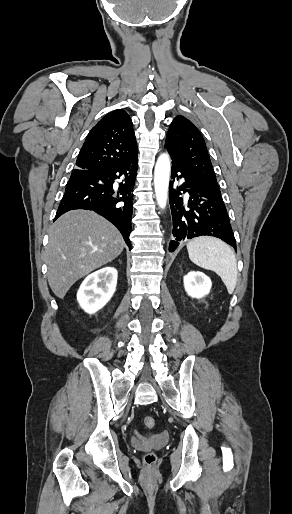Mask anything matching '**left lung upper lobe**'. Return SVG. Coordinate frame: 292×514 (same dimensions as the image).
<instances>
[{"label":"left lung upper lobe","instance_id":"obj_1","mask_svg":"<svg viewBox=\"0 0 292 514\" xmlns=\"http://www.w3.org/2000/svg\"><path fill=\"white\" fill-rule=\"evenodd\" d=\"M165 147L192 177L218 186L203 136L190 120L181 115L174 118L166 135Z\"/></svg>","mask_w":292,"mask_h":514}]
</instances>
